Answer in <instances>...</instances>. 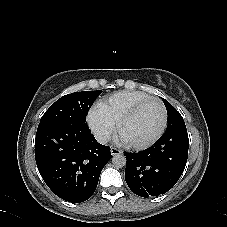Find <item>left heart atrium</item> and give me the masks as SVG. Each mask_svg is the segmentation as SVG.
Segmentation results:
<instances>
[{"mask_svg":"<svg viewBox=\"0 0 227 227\" xmlns=\"http://www.w3.org/2000/svg\"><path fill=\"white\" fill-rule=\"evenodd\" d=\"M118 140L121 144H128V142L121 135Z\"/></svg>","mask_w":227,"mask_h":227,"instance_id":"left-heart-atrium-1","label":"left heart atrium"}]
</instances>
